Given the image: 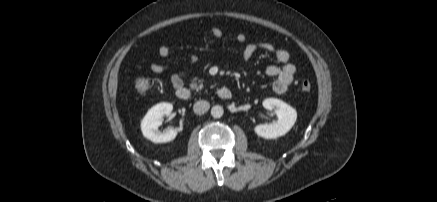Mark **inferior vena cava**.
<instances>
[{
	"instance_id": "obj_1",
	"label": "inferior vena cava",
	"mask_w": 437,
	"mask_h": 202,
	"mask_svg": "<svg viewBox=\"0 0 437 202\" xmlns=\"http://www.w3.org/2000/svg\"><path fill=\"white\" fill-rule=\"evenodd\" d=\"M209 108H210L209 102L200 100L194 104L193 111L196 114L200 115V114H204L205 112H207L209 110Z\"/></svg>"
}]
</instances>
